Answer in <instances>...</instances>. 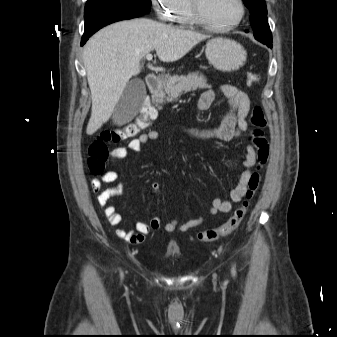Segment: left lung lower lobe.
<instances>
[{
    "label": "left lung lower lobe",
    "instance_id": "left-lung-lower-lobe-1",
    "mask_svg": "<svg viewBox=\"0 0 337 337\" xmlns=\"http://www.w3.org/2000/svg\"><path fill=\"white\" fill-rule=\"evenodd\" d=\"M267 44L268 47L272 48V43H264Z\"/></svg>",
    "mask_w": 337,
    "mask_h": 337
}]
</instances>
